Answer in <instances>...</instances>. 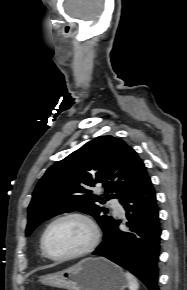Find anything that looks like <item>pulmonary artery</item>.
<instances>
[{
  "label": "pulmonary artery",
  "mask_w": 187,
  "mask_h": 290,
  "mask_svg": "<svg viewBox=\"0 0 187 290\" xmlns=\"http://www.w3.org/2000/svg\"><path fill=\"white\" fill-rule=\"evenodd\" d=\"M111 206L112 208L114 209V211L117 213V214H122L123 213V208L122 206L120 205V203L116 200H113L111 202Z\"/></svg>",
  "instance_id": "pulmonary-artery-1"
}]
</instances>
